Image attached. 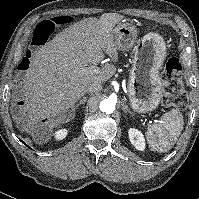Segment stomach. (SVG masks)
Instances as JSON below:
<instances>
[{"instance_id":"0dacf381","label":"stomach","mask_w":199,"mask_h":199,"mask_svg":"<svg viewBox=\"0 0 199 199\" xmlns=\"http://www.w3.org/2000/svg\"><path fill=\"white\" fill-rule=\"evenodd\" d=\"M136 27L128 22H120L114 28L115 44L119 50L133 48L128 96L132 109L137 113H147L158 107L163 97V80L160 70L166 58V44L154 32L137 40Z\"/></svg>"}]
</instances>
